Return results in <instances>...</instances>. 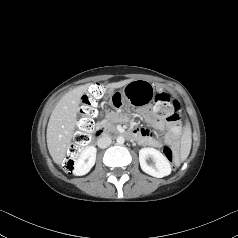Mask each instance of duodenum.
Masks as SVG:
<instances>
[{
  "label": "duodenum",
  "instance_id": "410a0bca",
  "mask_svg": "<svg viewBox=\"0 0 238 238\" xmlns=\"http://www.w3.org/2000/svg\"><path fill=\"white\" fill-rule=\"evenodd\" d=\"M111 134H114V132H112L111 130L104 128V127H98L95 130L96 137H103V136H107V135H111ZM124 135L128 138H136V135L134 133H124Z\"/></svg>",
  "mask_w": 238,
  "mask_h": 238
}]
</instances>
